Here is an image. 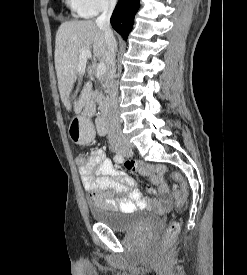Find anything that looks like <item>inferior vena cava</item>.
Segmentation results:
<instances>
[{
    "label": "inferior vena cava",
    "mask_w": 247,
    "mask_h": 275,
    "mask_svg": "<svg viewBox=\"0 0 247 275\" xmlns=\"http://www.w3.org/2000/svg\"><path fill=\"white\" fill-rule=\"evenodd\" d=\"M117 0H106L102 14L97 17L96 24L103 30L107 45L106 58L108 71L104 78V85L108 94V141L111 146H117L126 142L122 133L118 111V87L115 82L117 42L110 27V17L116 6Z\"/></svg>",
    "instance_id": "obj_1"
}]
</instances>
